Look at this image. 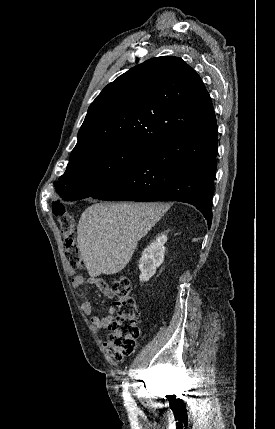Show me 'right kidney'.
<instances>
[{
  "mask_svg": "<svg viewBox=\"0 0 275 429\" xmlns=\"http://www.w3.org/2000/svg\"><path fill=\"white\" fill-rule=\"evenodd\" d=\"M167 236L161 233L142 253L139 261V269L141 274L139 279L141 282L148 281L155 273L156 269L163 263Z\"/></svg>",
  "mask_w": 275,
  "mask_h": 429,
  "instance_id": "right-kidney-1",
  "label": "right kidney"
}]
</instances>
